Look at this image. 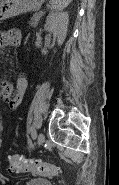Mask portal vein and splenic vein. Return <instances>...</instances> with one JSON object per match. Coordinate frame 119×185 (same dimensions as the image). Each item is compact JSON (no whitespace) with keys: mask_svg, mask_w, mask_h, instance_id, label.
Instances as JSON below:
<instances>
[{"mask_svg":"<svg viewBox=\"0 0 119 185\" xmlns=\"http://www.w3.org/2000/svg\"><path fill=\"white\" fill-rule=\"evenodd\" d=\"M40 14H41V15H43V14H44V12H43V11H40Z\"/></svg>","mask_w":119,"mask_h":185,"instance_id":"portal-vein-and-splenic-vein-1","label":"portal vein and splenic vein"}]
</instances>
